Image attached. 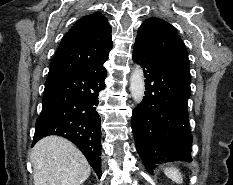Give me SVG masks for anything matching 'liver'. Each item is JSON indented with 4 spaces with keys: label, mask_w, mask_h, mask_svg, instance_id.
<instances>
[{
    "label": "liver",
    "mask_w": 233,
    "mask_h": 185,
    "mask_svg": "<svg viewBox=\"0 0 233 185\" xmlns=\"http://www.w3.org/2000/svg\"><path fill=\"white\" fill-rule=\"evenodd\" d=\"M30 158L35 185H81L91 167L81 151L59 136H47L36 143Z\"/></svg>",
    "instance_id": "liver-1"
}]
</instances>
